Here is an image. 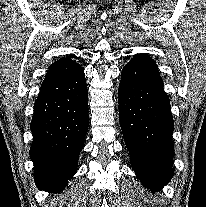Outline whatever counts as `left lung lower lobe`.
<instances>
[{"mask_svg":"<svg viewBox=\"0 0 206 207\" xmlns=\"http://www.w3.org/2000/svg\"><path fill=\"white\" fill-rule=\"evenodd\" d=\"M118 90L120 125L132 168L155 192L174 174V122L156 63L147 54H136L123 68Z\"/></svg>","mask_w":206,"mask_h":207,"instance_id":"0a47b994","label":"left lung lower lobe"}]
</instances>
